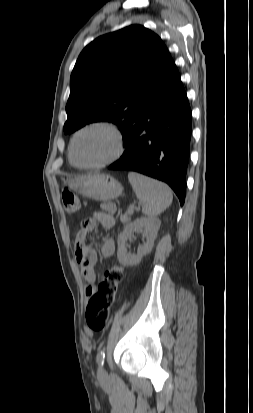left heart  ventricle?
Returning <instances> with one entry per match:
<instances>
[{
    "instance_id": "obj_1",
    "label": "left heart ventricle",
    "mask_w": 253,
    "mask_h": 413,
    "mask_svg": "<svg viewBox=\"0 0 253 413\" xmlns=\"http://www.w3.org/2000/svg\"><path fill=\"white\" fill-rule=\"evenodd\" d=\"M114 139L104 129H91L77 138L74 146L76 160L82 164H94L107 158L114 150Z\"/></svg>"
}]
</instances>
